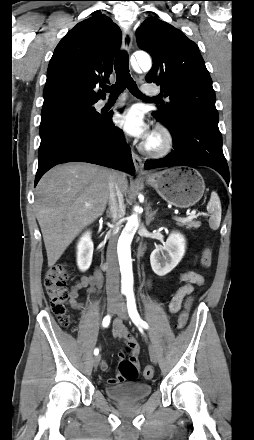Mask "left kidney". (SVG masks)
Instances as JSON below:
<instances>
[{
	"label": "left kidney",
	"mask_w": 254,
	"mask_h": 440,
	"mask_svg": "<svg viewBox=\"0 0 254 440\" xmlns=\"http://www.w3.org/2000/svg\"><path fill=\"white\" fill-rule=\"evenodd\" d=\"M186 249V240L178 232H172L163 247L155 249L150 255L152 270L158 276L171 272L182 260Z\"/></svg>",
	"instance_id": "left-kidney-1"
}]
</instances>
